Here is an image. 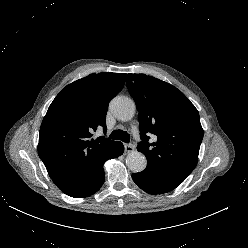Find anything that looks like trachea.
I'll use <instances>...</instances> for the list:
<instances>
[{
    "instance_id": "3493384b",
    "label": "trachea",
    "mask_w": 248,
    "mask_h": 248,
    "mask_svg": "<svg viewBox=\"0 0 248 248\" xmlns=\"http://www.w3.org/2000/svg\"><path fill=\"white\" fill-rule=\"evenodd\" d=\"M110 139H114V140H121L125 143H129L130 142V135L123 130H114L110 136Z\"/></svg>"
}]
</instances>
